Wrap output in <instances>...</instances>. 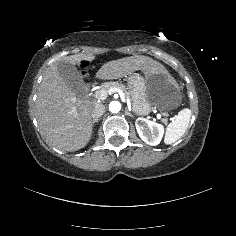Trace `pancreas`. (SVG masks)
Listing matches in <instances>:
<instances>
[{
  "mask_svg": "<svg viewBox=\"0 0 236 236\" xmlns=\"http://www.w3.org/2000/svg\"><path fill=\"white\" fill-rule=\"evenodd\" d=\"M110 88H119L120 90L123 91L126 98L130 97L129 91L126 90V88L123 84H119L118 82H108V83H105L103 86V89H105V90H109Z\"/></svg>",
  "mask_w": 236,
  "mask_h": 236,
  "instance_id": "pancreas-1",
  "label": "pancreas"
}]
</instances>
